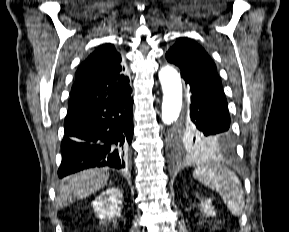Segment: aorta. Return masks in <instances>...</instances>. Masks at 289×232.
<instances>
[{"label": "aorta", "mask_w": 289, "mask_h": 232, "mask_svg": "<svg viewBox=\"0 0 289 232\" xmlns=\"http://www.w3.org/2000/svg\"><path fill=\"white\" fill-rule=\"evenodd\" d=\"M163 91L162 121L165 125L175 123L182 109V84L180 75L173 67L166 66L159 71Z\"/></svg>", "instance_id": "aorta-1"}]
</instances>
